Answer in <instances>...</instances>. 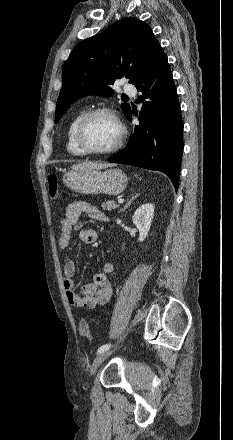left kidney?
<instances>
[{"mask_svg": "<svg viewBox=\"0 0 233 440\" xmlns=\"http://www.w3.org/2000/svg\"><path fill=\"white\" fill-rule=\"evenodd\" d=\"M154 216V205L151 203H146L141 205L132 216V221L139 230L140 242H143L150 230L151 222Z\"/></svg>", "mask_w": 233, "mask_h": 440, "instance_id": "obj_1", "label": "left kidney"}]
</instances>
